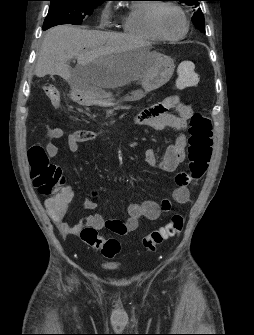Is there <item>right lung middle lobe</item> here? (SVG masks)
<instances>
[{
  "label": "right lung middle lobe",
  "mask_w": 254,
  "mask_h": 335,
  "mask_svg": "<svg viewBox=\"0 0 254 335\" xmlns=\"http://www.w3.org/2000/svg\"><path fill=\"white\" fill-rule=\"evenodd\" d=\"M50 8L43 24V30L59 24L82 23L86 15L100 5L102 0H49Z\"/></svg>",
  "instance_id": "right-lung-middle-lobe-1"
}]
</instances>
